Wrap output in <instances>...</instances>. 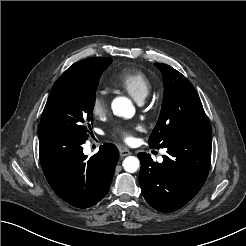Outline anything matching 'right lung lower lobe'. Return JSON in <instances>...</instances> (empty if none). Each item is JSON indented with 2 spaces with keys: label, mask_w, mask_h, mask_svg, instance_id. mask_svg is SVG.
<instances>
[{
  "label": "right lung lower lobe",
  "mask_w": 246,
  "mask_h": 246,
  "mask_svg": "<svg viewBox=\"0 0 246 246\" xmlns=\"http://www.w3.org/2000/svg\"><path fill=\"white\" fill-rule=\"evenodd\" d=\"M75 133H39V153L44 175L55 193L77 208L98 203L108 192L119 157L117 147L105 143L87 159Z\"/></svg>",
  "instance_id": "obj_1"
}]
</instances>
